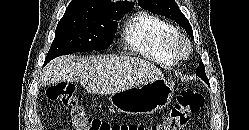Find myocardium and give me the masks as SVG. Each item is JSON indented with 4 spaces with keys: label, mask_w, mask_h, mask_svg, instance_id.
<instances>
[{
    "label": "myocardium",
    "mask_w": 249,
    "mask_h": 130,
    "mask_svg": "<svg viewBox=\"0 0 249 130\" xmlns=\"http://www.w3.org/2000/svg\"><path fill=\"white\" fill-rule=\"evenodd\" d=\"M168 49L177 60L186 59L192 52V43L185 34L176 32L169 41Z\"/></svg>",
    "instance_id": "obj_1"
}]
</instances>
